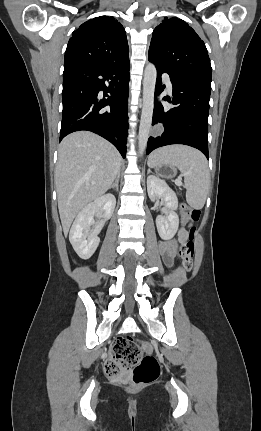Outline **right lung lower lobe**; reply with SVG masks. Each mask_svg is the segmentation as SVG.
Segmentation results:
<instances>
[{
    "mask_svg": "<svg viewBox=\"0 0 261 431\" xmlns=\"http://www.w3.org/2000/svg\"><path fill=\"white\" fill-rule=\"evenodd\" d=\"M129 70V59L117 64L65 67L60 141L72 132L87 130L110 141L125 157Z\"/></svg>",
    "mask_w": 261,
    "mask_h": 431,
    "instance_id": "right-lung-lower-lobe-1",
    "label": "right lung lower lobe"
}]
</instances>
